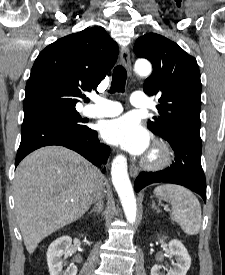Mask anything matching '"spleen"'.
Returning a JSON list of instances; mask_svg holds the SVG:
<instances>
[{
    "mask_svg": "<svg viewBox=\"0 0 225 275\" xmlns=\"http://www.w3.org/2000/svg\"><path fill=\"white\" fill-rule=\"evenodd\" d=\"M154 194L172 206L171 219L188 235L198 234L201 228V206L196 196L183 186L164 184Z\"/></svg>",
    "mask_w": 225,
    "mask_h": 275,
    "instance_id": "spleen-1",
    "label": "spleen"
}]
</instances>
